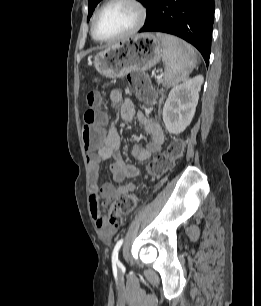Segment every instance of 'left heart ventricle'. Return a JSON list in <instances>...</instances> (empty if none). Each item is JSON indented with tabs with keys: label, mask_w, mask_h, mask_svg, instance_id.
<instances>
[{
	"label": "left heart ventricle",
	"mask_w": 261,
	"mask_h": 306,
	"mask_svg": "<svg viewBox=\"0 0 261 306\" xmlns=\"http://www.w3.org/2000/svg\"><path fill=\"white\" fill-rule=\"evenodd\" d=\"M138 13L128 3H114L105 8L97 21V34L102 38L115 37L128 32L137 22Z\"/></svg>",
	"instance_id": "obj_1"
}]
</instances>
